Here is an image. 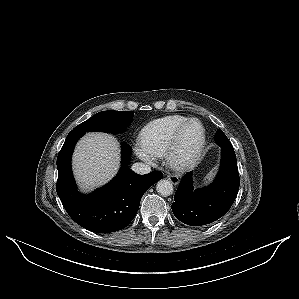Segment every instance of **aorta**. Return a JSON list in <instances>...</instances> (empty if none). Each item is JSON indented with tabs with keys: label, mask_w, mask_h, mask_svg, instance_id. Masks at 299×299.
<instances>
[{
	"label": "aorta",
	"mask_w": 299,
	"mask_h": 299,
	"mask_svg": "<svg viewBox=\"0 0 299 299\" xmlns=\"http://www.w3.org/2000/svg\"><path fill=\"white\" fill-rule=\"evenodd\" d=\"M156 190L162 196H169L173 192V184L169 180L162 179L157 182Z\"/></svg>",
	"instance_id": "1"
}]
</instances>
